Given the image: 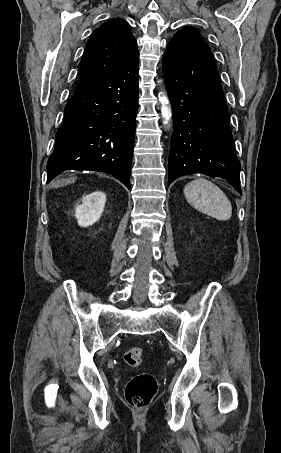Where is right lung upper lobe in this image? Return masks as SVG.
I'll return each instance as SVG.
<instances>
[{
  "label": "right lung upper lobe",
  "instance_id": "cb5924a9",
  "mask_svg": "<svg viewBox=\"0 0 281 453\" xmlns=\"http://www.w3.org/2000/svg\"><path fill=\"white\" fill-rule=\"evenodd\" d=\"M130 26L123 20L106 21L91 35L78 66L79 80L107 77L138 54Z\"/></svg>",
  "mask_w": 281,
  "mask_h": 453
}]
</instances>
